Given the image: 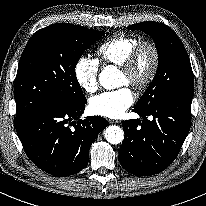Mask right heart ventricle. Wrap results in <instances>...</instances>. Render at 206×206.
<instances>
[{
    "label": "right heart ventricle",
    "instance_id": "right-heart-ventricle-1",
    "mask_svg": "<svg viewBox=\"0 0 206 206\" xmlns=\"http://www.w3.org/2000/svg\"><path fill=\"white\" fill-rule=\"evenodd\" d=\"M139 41L140 39L136 36L117 35L111 37L97 49L100 62L121 67Z\"/></svg>",
    "mask_w": 206,
    "mask_h": 206
}]
</instances>
